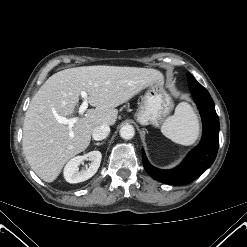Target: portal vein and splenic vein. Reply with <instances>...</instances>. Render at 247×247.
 Wrapping results in <instances>:
<instances>
[{"instance_id":"1","label":"portal vein and splenic vein","mask_w":247,"mask_h":247,"mask_svg":"<svg viewBox=\"0 0 247 247\" xmlns=\"http://www.w3.org/2000/svg\"><path fill=\"white\" fill-rule=\"evenodd\" d=\"M80 95L83 98V102L79 107V113L83 114L88 108V94L85 91H81ZM56 119L59 123L68 125L69 129H72L74 124L77 122V118L75 117L68 119L66 117L56 116ZM70 136H73V134L70 133Z\"/></svg>"}]
</instances>
